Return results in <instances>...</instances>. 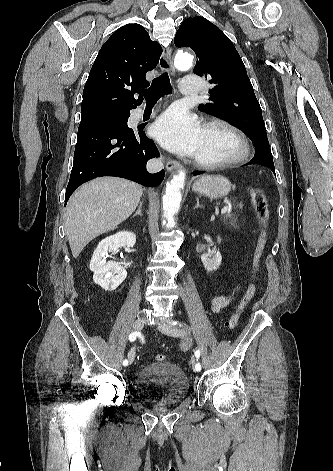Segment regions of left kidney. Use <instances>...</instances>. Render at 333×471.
<instances>
[{
	"instance_id": "5707ae66",
	"label": "left kidney",
	"mask_w": 333,
	"mask_h": 471,
	"mask_svg": "<svg viewBox=\"0 0 333 471\" xmlns=\"http://www.w3.org/2000/svg\"><path fill=\"white\" fill-rule=\"evenodd\" d=\"M218 243L221 242V238L218 237ZM201 261L207 270V272H213L219 268L222 261V256L219 251L212 250L201 256Z\"/></svg>"
}]
</instances>
